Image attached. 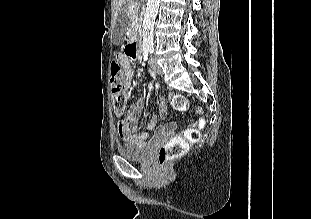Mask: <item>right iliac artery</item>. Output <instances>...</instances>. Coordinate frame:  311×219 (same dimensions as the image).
<instances>
[{
    "label": "right iliac artery",
    "instance_id": "right-iliac-artery-1",
    "mask_svg": "<svg viewBox=\"0 0 311 219\" xmlns=\"http://www.w3.org/2000/svg\"><path fill=\"white\" fill-rule=\"evenodd\" d=\"M143 56H144V60H148V56H149V50H143Z\"/></svg>",
    "mask_w": 311,
    "mask_h": 219
}]
</instances>
